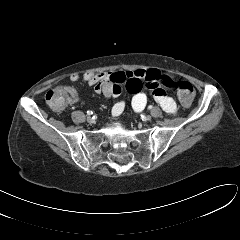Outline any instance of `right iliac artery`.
<instances>
[{
	"label": "right iliac artery",
	"instance_id": "obj_1",
	"mask_svg": "<svg viewBox=\"0 0 240 240\" xmlns=\"http://www.w3.org/2000/svg\"><path fill=\"white\" fill-rule=\"evenodd\" d=\"M93 112L92 111H87V115H92Z\"/></svg>",
	"mask_w": 240,
	"mask_h": 240
}]
</instances>
